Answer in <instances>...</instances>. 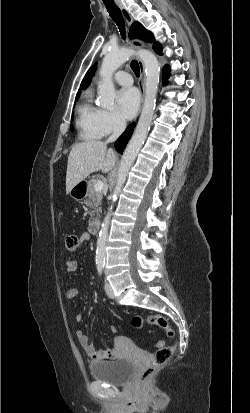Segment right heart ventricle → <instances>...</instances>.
Returning a JSON list of instances; mask_svg holds the SVG:
<instances>
[{
  "mask_svg": "<svg viewBox=\"0 0 250 413\" xmlns=\"http://www.w3.org/2000/svg\"><path fill=\"white\" fill-rule=\"evenodd\" d=\"M100 110L92 102V92L87 90L77 110L76 126L82 140H94L102 136L99 125Z\"/></svg>",
  "mask_w": 250,
  "mask_h": 413,
  "instance_id": "right-heart-ventricle-1",
  "label": "right heart ventricle"
}]
</instances>
